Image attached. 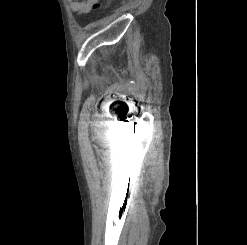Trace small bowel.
Here are the masks:
<instances>
[{
  "mask_svg": "<svg viewBox=\"0 0 247 245\" xmlns=\"http://www.w3.org/2000/svg\"><path fill=\"white\" fill-rule=\"evenodd\" d=\"M68 2L73 12L82 15L89 12L97 0H68Z\"/></svg>",
  "mask_w": 247,
  "mask_h": 245,
  "instance_id": "1",
  "label": "small bowel"
}]
</instances>
